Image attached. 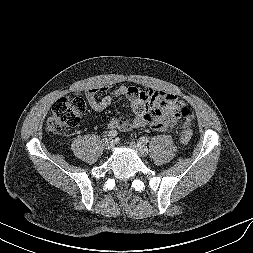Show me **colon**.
Here are the masks:
<instances>
[{"label": "colon", "instance_id": "obj_1", "mask_svg": "<svg viewBox=\"0 0 253 253\" xmlns=\"http://www.w3.org/2000/svg\"><path fill=\"white\" fill-rule=\"evenodd\" d=\"M85 102L80 97H62L52 106L50 116L47 121V131L50 134H57L69 130L76 126L85 111ZM182 115L190 118L191 112L183 110ZM192 138L190 129H185L181 134L183 143H188Z\"/></svg>", "mask_w": 253, "mask_h": 253}]
</instances>
